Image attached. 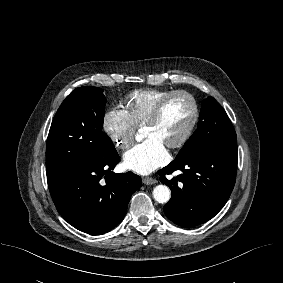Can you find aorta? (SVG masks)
<instances>
[{"mask_svg": "<svg viewBox=\"0 0 283 283\" xmlns=\"http://www.w3.org/2000/svg\"><path fill=\"white\" fill-rule=\"evenodd\" d=\"M154 199L161 204L167 203L171 197V191L166 185H158L153 190Z\"/></svg>", "mask_w": 283, "mask_h": 283, "instance_id": "obj_1", "label": "aorta"}]
</instances>
